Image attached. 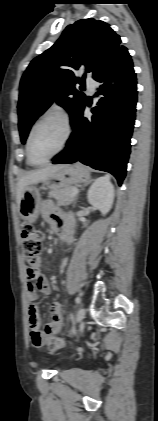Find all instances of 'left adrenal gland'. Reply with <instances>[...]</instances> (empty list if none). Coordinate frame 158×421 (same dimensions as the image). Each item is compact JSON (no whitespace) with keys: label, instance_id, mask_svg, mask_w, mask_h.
Returning <instances> with one entry per match:
<instances>
[{"label":"left adrenal gland","instance_id":"left-adrenal-gland-1","mask_svg":"<svg viewBox=\"0 0 158 421\" xmlns=\"http://www.w3.org/2000/svg\"><path fill=\"white\" fill-rule=\"evenodd\" d=\"M88 183H89V182H88ZM88 183H86V184H85V186H86ZM75 204H76V202H75ZM75 204H74V205H75Z\"/></svg>","mask_w":158,"mask_h":421}]
</instances>
